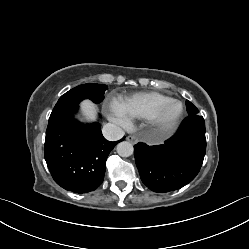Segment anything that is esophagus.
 I'll use <instances>...</instances> for the list:
<instances>
[{"mask_svg": "<svg viewBox=\"0 0 249 249\" xmlns=\"http://www.w3.org/2000/svg\"><path fill=\"white\" fill-rule=\"evenodd\" d=\"M126 139H127V141L131 142L132 144H136L138 142V139L133 135L127 136Z\"/></svg>", "mask_w": 249, "mask_h": 249, "instance_id": "1", "label": "esophagus"}]
</instances>
